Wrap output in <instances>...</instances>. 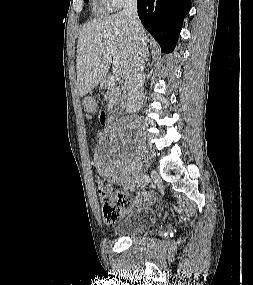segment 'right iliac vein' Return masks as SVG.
Instances as JSON below:
<instances>
[{
    "instance_id": "1",
    "label": "right iliac vein",
    "mask_w": 253,
    "mask_h": 285,
    "mask_svg": "<svg viewBox=\"0 0 253 285\" xmlns=\"http://www.w3.org/2000/svg\"><path fill=\"white\" fill-rule=\"evenodd\" d=\"M149 183V177L147 175H143L139 180V187L145 188Z\"/></svg>"
}]
</instances>
